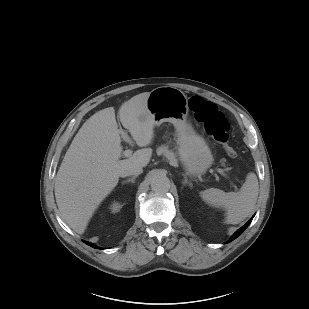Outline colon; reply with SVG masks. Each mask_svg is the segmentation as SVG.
Returning a JSON list of instances; mask_svg holds the SVG:
<instances>
[{"mask_svg": "<svg viewBox=\"0 0 309 309\" xmlns=\"http://www.w3.org/2000/svg\"><path fill=\"white\" fill-rule=\"evenodd\" d=\"M189 108L205 131L221 143L229 157H236L237 151L229 142L228 121L219 107L201 96L189 100Z\"/></svg>", "mask_w": 309, "mask_h": 309, "instance_id": "obj_1", "label": "colon"}]
</instances>
